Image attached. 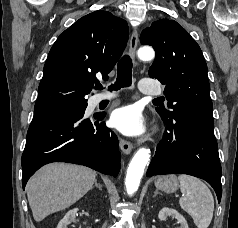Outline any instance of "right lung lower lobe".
I'll list each match as a JSON object with an SVG mask.
<instances>
[{
	"label": "right lung lower lobe",
	"instance_id": "obj_1",
	"mask_svg": "<svg viewBox=\"0 0 238 228\" xmlns=\"http://www.w3.org/2000/svg\"><path fill=\"white\" fill-rule=\"evenodd\" d=\"M66 108L35 114L22 155V185L50 162L76 163L116 177L120 151L114 132L101 120L105 114L83 118L85 109Z\"/></svg>",
	"mask_w": 238,
	"mask_h": 228
}]
</instances>
